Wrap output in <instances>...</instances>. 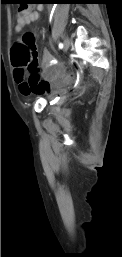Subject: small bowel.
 Here are the masks:
<instances>
[{
  "label": "small bowel",
  "mask_w": 122,
  "mask_h": 257,
  "mask_svg": "<svg viewBox=\"0 0 122 257\" xmlns=\"http://www.w3.org/2000/svg\"><path fill=\"white\" fill-rule=\"evenodd\" d=\"M41 6L27 8L20 11L16 16L15 31L21 32L26 26L40 18ZM42 71L33 79L23 68H15L14 76L19 85L22 95L49 93L51 86L62 80V84L67 80L68 73H63V68L56 65V61L49 49H44L41 58Z\"/></svg>",
  "instance_id": "1"
}]
</instances>
